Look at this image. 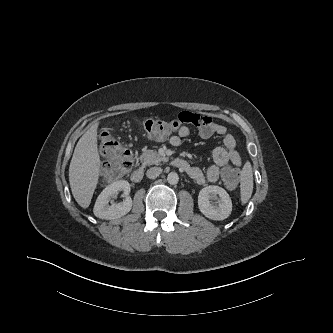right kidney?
Wrapping results in <instances>:
<instances>
[{
    "instance_id": "1",
    "label": "right kidney",
    "mask_w": 333,
    "mask_h": 333,
    "mask_svg": "<svg viewBox=\"0 0 333 333\" xmlns=\"http://www.w3.org/2000/svg\"><path fill=\"white\" fill-rule=\"evenodd\" d=\"M122 191L125 199L120 203L109 205L112 197ZM130 184L125 180H119L108 185L98 196L94 205V215L100 219H117L126 215L132 208V199L129 197Z\"/></svg>"
}]
</instances>
